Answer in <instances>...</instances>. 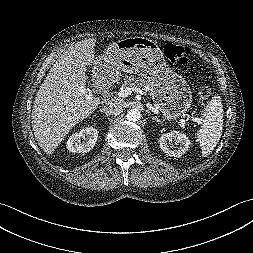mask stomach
Segmentation results:
<instances>
[{
    "mask_svg": "<svg viewBox=\"0 0 253 253\" xmlns=\"http://www.w3.org/2000/svg\"><path fill=\"white\" fill-rule=\"evenodd\" d=\"M96 76H117L121 71L140 74L150 80L151 97L164 120H174L187 111L192 92L183 77L172 71L155 41L129 37L111 44L106 56L94 65Z\"/></svg>",
    "mask_w": 253,
    "mask_h": 253,
    "instance_id": "obj_1",
    "label": "stomach"
}]
</instances>
